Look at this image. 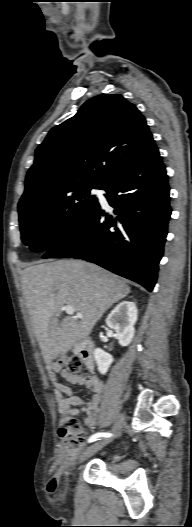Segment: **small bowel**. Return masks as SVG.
<instances>
[{"label":"small bowel","instance_id":"1","mask_svg":"<svg viewBox=\"0 0 192 527\" xmlns=\"http://www.w3.org/2000/svg\"><path fill=\"white\" fill-rule=\"evenodd\" d=\"M48 375L56 388L59 411L68 415H85L84 423L89 428H94L97 424L99 405L103 398L104 384L96 376L81 378L69 374L60 366L53 364L48 369ZM58 375L63 377L69 384L84 386L93 393L89 402H85L81 397L74 394L69 385L58 381ZM65 395L66 397H63Z\"/></svg>","mask_w":192,"mask_h":527}]
</instances>
